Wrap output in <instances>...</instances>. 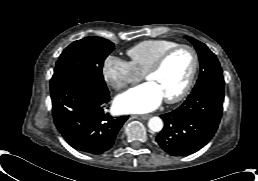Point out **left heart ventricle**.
Instances as JSON below:
<instances>
[{
	"label": "left heart ventricle",
	"mask_w": 258,
	"mask_h": 181,
	"mask_svg": "<svg viewBox=\"0 0 258 181\" xmlns=\"http://www.w3.org/2000/svg\"><path fill=\"white\" fill-rule=\"evenodd\" d=\"M193 65L191 53L181 49L171 55L162 69L150 75L148 82L154 83L164 98L177 95L185 86Z\"/></svg>",
	"instance_id": "b2bd125f"
}]
</instances>
